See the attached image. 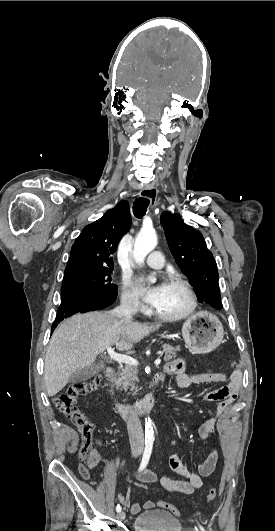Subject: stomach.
<instances>
[{"instance_id":"0dacf381","label":"stomach","mask_w":275,"mask_h":531,"mask_svg":"<svg viewBox=\"0 0 275 531\" xmlns=\"http://www.w3.org/2000/svg\"><path fill=\"white\" fill-rule=\"evenodd\" d=\"M182 337L191 351L211 353L222 343L224 329L215 315L200 311L183 323Z\"/></svg>"}]
</instances>
